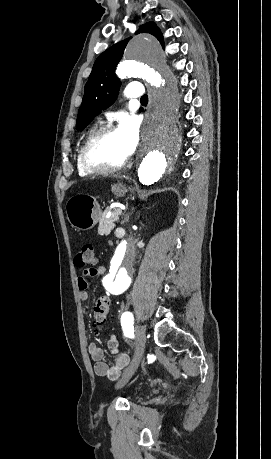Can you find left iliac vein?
I'll use <instances>...</instances> for the list:
<instances>
[{"label":"left iliac vein","instance_id":"obj_1","mask_svg":"<svg viewBox=\"0 0 271 459\" xmlns=\"http://www.w3.org/2000/svg\"><path fill=\"white\" fill-rule=\"evenodd\" d=\"M135 335V358L132 360L130 366L124 371L123 376L118 382L117 388H121L128 381V379L136 370L138 362L143 357L146 343V334L144 328L142 326H137L135 329Z\"/></svg>","mask_w":271,"mask_h":459}]
</instances>
